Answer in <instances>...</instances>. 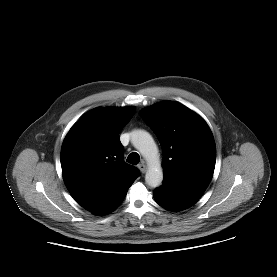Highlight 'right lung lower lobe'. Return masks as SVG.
<instances>
[{
	"label": "right lung lower lobe",
	"mask_w": 277,
	"mask_h": 277,
	"mask_svg": "<svg viewBox=\"0 0 277 277\" xmlns=\"http://www.w3.org/2000/svg\"><path fill=\"white\" fill-rule=\"evenodd\" d=\"M132 185V184H131ZM129 185L126 187L113 201H111L106 207L102 208L101 210L95 212V215H105L116 209L123 201L124 197L127 194L128 188L131 186Z\"/></svg>",
	"instance_id": "98d812e1"
}]
</instances>
